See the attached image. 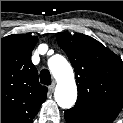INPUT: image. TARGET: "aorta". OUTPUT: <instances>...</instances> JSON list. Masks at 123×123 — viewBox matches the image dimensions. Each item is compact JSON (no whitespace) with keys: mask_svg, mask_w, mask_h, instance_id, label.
<instances>
[{"mask_svg":"<svg viewBox=\"0 0 123 123\" xmlns=\"http://www.w3.org/2000/svg\"><path fill=\"white\" fill-rule=\"evenodd\" d=\"M48 66L57 81L55 100L63 109L71 108L77 99V86L74 72L69 62L61 55H53L48 60Z\"/></svg>","mask_w":123,"mask_h":123,"instance_id":"obj_1","label":"aorta"}]
</instances>
